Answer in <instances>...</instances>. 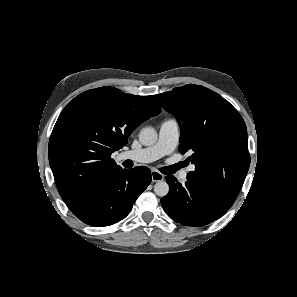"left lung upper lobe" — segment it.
<instances>
[{"mask_svg": "<svg viewBox=\"0 0 297 297\" xmlns=\"http://www.w3.org/2000/svg\"><path fill=\"white\" fill-rule=\"evenodd\" d=\"M154 98L179 122L180 152H193L187 161L195 170L187 174V181L231 207L250 165L240 114L219 94L194 84Z\"/></svg>", "mask_w": 297, "mask_h": 297, "instance_id": "obj_1", "label": "left lung upper lobe"}]
</instances>
